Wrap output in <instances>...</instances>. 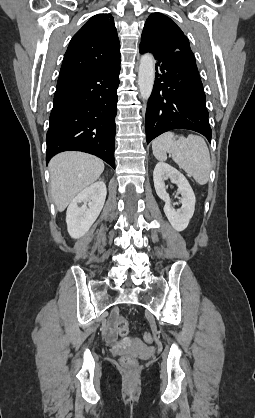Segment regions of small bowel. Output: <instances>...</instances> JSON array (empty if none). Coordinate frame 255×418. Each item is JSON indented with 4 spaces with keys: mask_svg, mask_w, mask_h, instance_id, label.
<instances>
[{
    "mask_svg": "<svg viewBox=\"0 0 255 418\" xmlns=\"http://www.w3.org/2000/svg\"><path fill=\"white\" fill-rule=\"evenodd\" d=\"M106 337L109 341H114L117 337V333L113 323H110L106 328Z\"/></svg>",
    "mask_w": 255,
    "mask_h": 418,
    "instance_id": "1",
    "label": "small bowel"
}]
</instances>
